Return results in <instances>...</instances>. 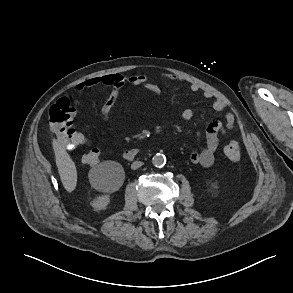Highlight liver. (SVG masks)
<instances>
[{"mask_svg":"<svg viewBox=\"0 0 293 293\" xmlns=\"http://www.w3.org/2000/svg\"><path fill=\"white\" fill-rule=\"evenodd\" d=\"M53 149L61 182L68 192H72L77 184V170L75 163L57 140L53 141Z\"/></svg>","mask_w":293,"mask_h":293,"instance_id":"liver-1","label":"liver"}]
</instances>
